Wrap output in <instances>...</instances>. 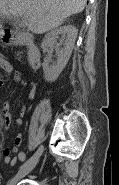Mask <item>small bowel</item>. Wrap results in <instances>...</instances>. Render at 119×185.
<instances>
[{"label":"small bowel","mask_w":119,"mask_h":185,"mask_svg":"<svg viewBox=\"0 0 119 185\" xmlns=\"http://www.w3.org/2000/svg\"><path fill=\"white\" fill-rule=\"evenodd\" d=\"M0 68L7 75H11L13 73L12 63L4 58L0 59ZM13 80L21 85L26 84V82L22 79L21 74L18 72L13 75ZM0 84L3 85L4 81L1 80ZM24 112H25V108L23 107L20 111L19 116L15 120L17 125L23 124ZM3 116H4L5 128L9 129L13 122L11 108H10L9 103H5L3 105ZM21 143H22V138L20 135H17L15 138V146L12 149L6 148L3 150L5 164L10 165V166H15L17 160L24 161L26 159V154L20 150Z\"/></svg>","instance_id":"obj_1"}]
</instances>
